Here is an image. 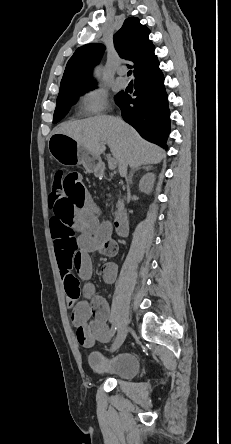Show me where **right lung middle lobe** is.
I'll use <instances>...</instances> for the list:
<instances>
[{
  "instance_id": "right-lung-middle-lobe-1",
  "label": "right lung middle lobe",
  "mask_w": 231,
  "mask_h": 444,
  "mask_svg": "<svg viewBox=\"0 0 231 444\" xmlns=\"http://www.w3.org/2000/svg\"><path fill=\"white\" fill-rule=\"evenodd\" d=\"M88 88H79L71 91H67L64 93H59L56 101V109L54 112L53 123L59 122L67 113L69 106L74 103L77 98V93L83 91ZM121 97V94L118 95L117 100Z\"/></svg>"
}]
</instances>
